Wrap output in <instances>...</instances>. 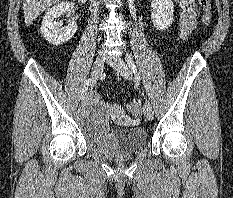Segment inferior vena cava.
Returning a JSON list of instances; mask_svg holds the SVG:
<instances>
[{
	"label": "inferior vena cava",
	"instance_id": "inferior-vena-cava-1",
	"mask_svg": "<svg viewBox=\"0 0 233 198\" xmlns=\"http://www.w3.org/2000/svg\"><path fill=\"white\" fill-rule=\"evenodd\" d=\"M90 1H91L90 10L93 11L94 17L97 18V11H98L97 4L95 0H90Z\"/></svg>",
	"mask_w": 233,
	"mask_h": 198
}]
</instances>
